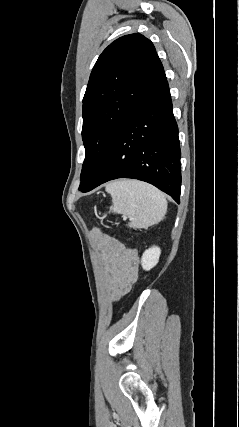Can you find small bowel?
I'll return each mask as SVG.
<instances>
[{
	"mask_svg": "<svg viewBox=\"0 0 239 427\" xmlns=\"http://www.w3.org/2000/svg\"><path fill=\"white\" fill-rule=\"evenodd\" d=\"M104 260L112 298L120 299L136 282L139 260L135 249L126 248L117 239L99 230L92 232Z\"/></svg>",
	"mask_w": 239,
	"mask_h": 427,
	"instance_id": "small-bowel-1",
	"label": "small bowel"
}]
</instances>
